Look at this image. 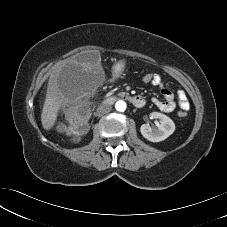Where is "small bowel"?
<instances>
[{"mask_svg":"<svg viewBox=\"0 0 227 227\" xmlns=\"http://www.w3.org/2000/svg\"><path fill=\"white\" fill-rule=\"evenodd\" d=\"M155 87L160 88L161 94L164 97V100H160L156 97L152 98L153 104L161 111L170 113L176 108L175 96L171 90L166 88L163 84L162 78L156 74L155 81L152 84ZM178 96V105L181 110L187 111L190 108V103L184 91L180 90L177 93Z\"/></svg>","mask_w":227,"mask_h":227,"instance_id":"1","label":"small bowel"}]
</instances>
